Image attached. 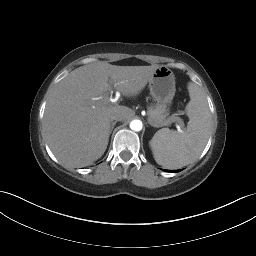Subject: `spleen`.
<instances>
[{
	"mask_svg": "<svg viewBox=\"0 0 256 256\" xmlns=\"http://www.w3.org/2000/svg\"><path fill=\"white\" fill-rule=\"evenodd\" d=\"M188 91L187 129L183 132L160 129L149 143L156 163L167 169H178L195 161L209 138L211 114L206 96L193 82L188 84Z\"/></svg>",
	"mask_w": 256,
	"mask_h": 256,
	"instance_id": "spleen-1",
	"label": "spleen"
}]
</instances>
